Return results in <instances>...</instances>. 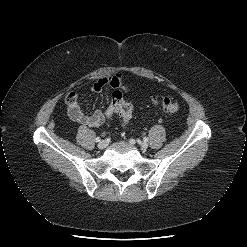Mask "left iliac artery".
<instances>
[{"label":"left iliac artery","instance_id":"44dca946","mask_svg":"<svg viewBox=\"0 0 247 247\" xmlns=\"http://www.w3.org/2000/svg\"><path fill=\"white\" fill-rule=\"evenodd\" d=\"M143 140H144L145 142H147V141H148V138H147V137H144Z\"/></svg>","mask_w":247,"mask_h":247}]
</instances>
